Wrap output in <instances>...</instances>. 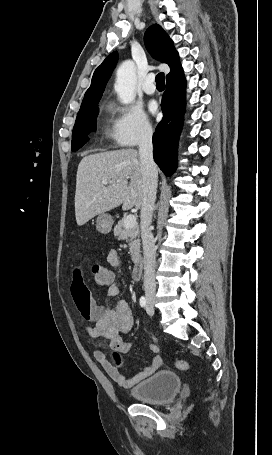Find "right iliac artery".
<instances>
[{"instance_id":"obj_1","label":"right iliac artery","mask_w":272,"mask_h":455,"mask_svg":"<svg viewBox=\"0 0 272 455\" xmlns=\"http://www.w3.org/2000/svg\"><path fill=\"white\" fill-rule=\"evenodd\" d=\"M140 306L145 307L146 306V298L142 296L139 300Z\"/></svg>"}]
</instances>
